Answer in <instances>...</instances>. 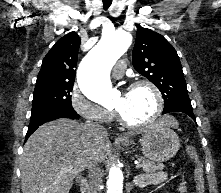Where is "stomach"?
I'll return each instance as SVG.
<instances>
[{
  "label": "stomach",
  "mask_w": 221,
  "mask_h": 193,
  "mask_svg": "<svg viewBox=\"0 0 221 193\" xmlns=\"http://www.w3.org/2000/svg\"><path fill=\"white\" fill-rule=\"evenodd\" d=\"M144 156L152 162L167 161L176 155L180 148L179 137L171 127L162 125L159 120L145 130L139 139ZM125 146L134 144L128 138L122 139Z\"/></svg>",
  "instance_id": "0dacf381"
}]
</instances>
